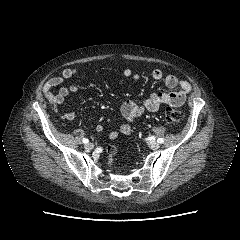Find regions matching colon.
<instances>
[{
    "instance_id": "1",
    "label": "colon",
    "mask_w": 240,
    "mask_h": 240,
    "mask_svg": "<svg viewBox=\"0 0 240 240\" xmlns=\"http://www.w3.org/2000/svg\"><path fill=\"white\" fill-rule=\"evenodd\" d=\"M183 117V113L176 108L169 107L165 111V120L169 124H178ZM116 154L115 146L111 145L107 147V156L109 163H112L114 156Z\"/></svg>"
}]
</instances>
